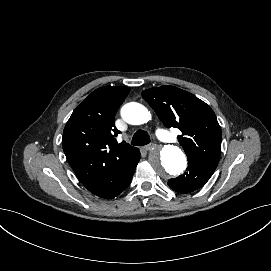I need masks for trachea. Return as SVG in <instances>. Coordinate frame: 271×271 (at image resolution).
<instances>
[{
  "label": "trachea",
  "mask_w": 271,
  "mask_h": 271,
  "mask_svg": "<svg viewBox=\"0 0 271 271\" xmlns=\"http://www.w3.org/2000/svg\"><path fill=\"white\" fill-rule=\"evenodd\" d=\"M150 136L144 130H138L132 137L131 144L135 146H144L150 143Z\"/></svg>",
  "instance_id": "trachea-1"
}]
</instances>
